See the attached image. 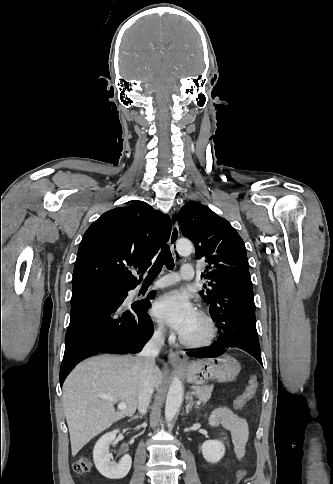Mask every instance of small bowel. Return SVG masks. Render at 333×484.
<instances>
[{"instance_id": "obj_1", "label": "small bowel", "mask_w": 333, "mask_h": 484, "mask_svg": "<svg viewBox=\"0 0 333 484\" xmlns=\"http://www.w3.org/2000/svg\"><path fill=\"white\" fill-rule=\"evenodd\" d=\"M210 424L212 426H222L229 431L231 441L227 438L223 440L227 444H232L235 455L238 459H242L245 455L246 443L249 436V428L247 421L235 414L227 407H219L214 409L210 415Z\"/></svg>"}]
</instances>
